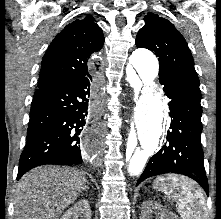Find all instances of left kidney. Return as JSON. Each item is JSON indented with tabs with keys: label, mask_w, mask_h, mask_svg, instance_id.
Instances as JSON below:
<instances>
[{
	"label": "left kidney",
	"mask_w": 221,
	"mask_h": 219,
	"mask_svg": "<svg viewBox=\"0 0 221 219\" xmlns=\"http://www.w3.org/2000/svg\"><path fill=\"white\" fill-rule=\"evenodd\" d=\"M153 214H156L159 219H178L175 214L167 210L160 204L153 201H145L142 204L141 218L150 219Z\"/></svg>",
	"instance_id": "5707ae66"
}]
</instances>
